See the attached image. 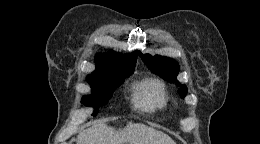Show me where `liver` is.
Wrapping results in <instances>:
<instances>
[{"label": "liver", "instance_id": "6515ba94", "mask_svg": "<svg viewBox=\"0 0 260 144\" xmlns=\"http://www.w3.org/2000/svg\"><path fill=\"white\" fill-rule=\"evenodd\" d=\"M77 144H176L165 133L140 123H130L116 130L105 123H98L81 131Z\"/></svg>", "mask_w": 260, "mask_h": 144}]
</instances>
